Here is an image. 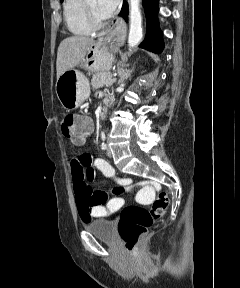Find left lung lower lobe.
I'll use <instances>...</instances> for the list:
<instances>
[{"instance_id": "1", "label": "left lung lower lobe", "mask_w": 240, "mask_h": 288, "mask_svg": "<svg viewBox=\"0 0 240 288\" xmlns=\"http://www.w3.org/2000/svg\"><path fill=\"white\" fill-rule=\"evenodd\" d=\"M158 1L159 0H143L147 30L145 40L140 47L154 53H160L164 48L162 32L157 19ZM119 15L124 17L125 20L128 18V5L125 0Z\"/></svg>"}]
</instances>
